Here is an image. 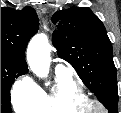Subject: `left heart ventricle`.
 <instances>
[{"label": "left heart ventricle", "instance_id": "b2bd125f", "mask_svg": "<svg viewBox=\"0 0 121 113\" xmlns=\"http://www.w3.org/2000/svg\"><path fill=\"white\" fill-rule=\"evenodd\" d=\"M93 113H100V109L97 107L92 108Z\"/></svg>", "mask_w": 121, "mask_h": 113}]
</instances>
